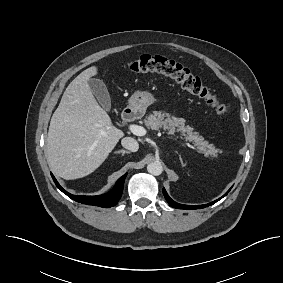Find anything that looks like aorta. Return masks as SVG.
<instances>
[{"label":"aorta","instance_id":"aorta-1","mask_svg":"<svg viewBox=\"0 0 283 283\" xmlns=\"http://www.w3.org/2000/svg\"><path fill=\"white\" fill-rule=\"evenodd\" d=\"M147 171L154 176H159L163 172V167L160 162L155 161L148 164Z\"/></svg>","mask_w":283,"mask_h":283}]
</instances>
